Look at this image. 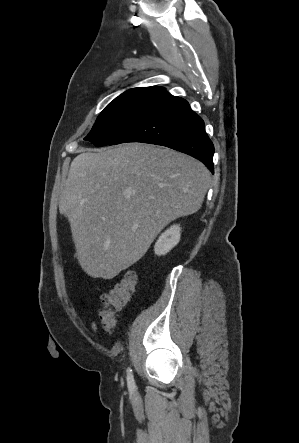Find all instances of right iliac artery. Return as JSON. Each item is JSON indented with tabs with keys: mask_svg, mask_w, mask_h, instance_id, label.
I'll return each mask as SVG.
<instances>
[{
	"mask_svg": "<svg viewBox=\"0 0 299 443\" xmlns=\"http://www.w3.org/2000/svg\"><path fill=\"white\" fill-rule=\"evenodd\" d=\"M127 382H128L129 389L133 390L135 388V381H134L131 369H128V371H127Z\"/></svg>",
	"mask_w": 299,
	"mask_h": 443,
	"instance_id": "82829eb1",
	"label": "right iliac artery"
}]
</instances>
